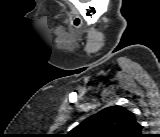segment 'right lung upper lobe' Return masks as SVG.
<instances>
[{"label": "right lung upper lobe", "instance_id": "cb5924a9", "mask_svg": "<svg viewBox=\"0 0 160 137\" xmlns=\"http://www.w3.org/2000/svg\"><path fill=\"white\" fill-rule=\"evenodd\" d=\"M142 126L122 106L107 107L88 117L69 133L72 137H139Z\"/></svg>", "mask_w": 160, "mask_h": 137}]
</instances>
